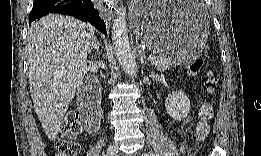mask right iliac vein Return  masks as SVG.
Wrapping results in <instances>:
<instances>
[{
	"mask_svg": "<svg viewBox=\"0 0 261 156\" xmlns=\"http://www.w3.org/2000/svg\"><path fill=\"white\" fill-rule=\"evenodd\" d=\"M107 155H109V156L117 155V148L113 145H109L107 148Z\"/></svg>",
	"mask_w": 261,
	"mask_h": 156,
	"instance_id": "obj_1",
	"label": "right iliac vein"
}]
</instances>
